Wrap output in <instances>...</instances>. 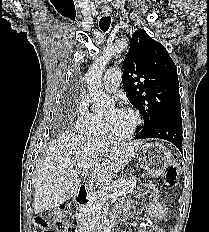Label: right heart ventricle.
I'll return each instance as SVG.
<instances>
[{
  "label": "right heart ventricle",
  "mask_w": 209,
  "mask_h": 232,
  "mask_svg": "<svg viewBox=\"0 0 209 232\" xmlns=\"http://www.w3.org/2000/svg\"><path fill=\"white\" fill-rule=\"evenodd\" d=\"M85 137L102 140L105 135L102 130V117L96 113H89L79 130Z\"/></svg>",
  "instance_id": "right-heart-ventricle-1"
}]
</instances>
